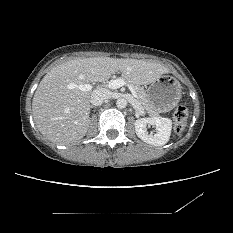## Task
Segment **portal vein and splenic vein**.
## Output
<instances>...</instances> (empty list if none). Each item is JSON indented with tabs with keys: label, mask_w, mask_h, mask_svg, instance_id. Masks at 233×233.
Returning a JSON list of instances; mask_svg holds the SVG:
<instances>
[{
	"label": "portal vein and splenic vein",
	"mask_w": 233,
	"mask_h": 233,
	"mask_svg": "<svg viewBox=\"0 0 233 233\" xmlns=\"http://www.w3.org/2000/svg\"><path fill=\"white\" fill-rule=\"evenodd\" d=\"M126 85V82L124 79L122 78H119V79H115V80H111L107 85L106 87L110 88V89H118L122 86ZM76 85H72L70 84L69 85V88L70 89H73ZM129 90L131 91L132 95L134 97H137V93H136V90L134 89V87L130 84L127 85ZM78 89H80L81 91H91L93 89V86L91 84H81L79 86H77Z\"/></svg>",
	"instance_id": "portal-vein-and-splenic-vein-1"
}]
</instances>
